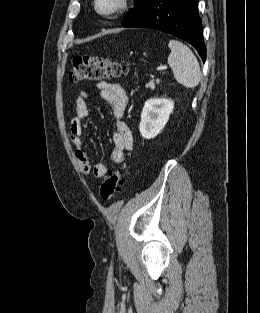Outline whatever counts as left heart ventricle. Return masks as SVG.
I'll return each instance as SVG.
<instances>
[{
    "label": "left heart ventricle",
    "mask_w": 260,
    "mask_h": 313,
    "mask_svg": "<svg viewBox=\"0 0 260 313\" xmlns=\"http://www.w3.org/2000/svg\"><path fill=\"white\" fill-rule=\"evenodd\" d=\"M116 0H99V8L103 11L114 7Z\"/></svg>",
    "instance_id": "obj_1"
}]
</instances>
